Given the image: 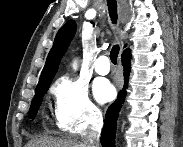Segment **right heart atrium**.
Returning <instances> with one entry per match:
<instances>
[{
    "mask_svg": "<svg viewBox=\"0 0 183 147\" xmlns=\"http://www.w3.org/2000/svg\"><path fill=\"white\" fill-rule=\"evenodd\" d=\"M54 120L58 128L74 134L97 125L99 108L89 97L87 86L79 79L64 76L52 87Z\"/></svg>",
    "mask_w": 183,
    "mask_h": 147,
    "instance_id": "right-heart-atrium-1",
    "label": "right heart atrium"
}]
</instances>
